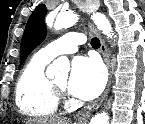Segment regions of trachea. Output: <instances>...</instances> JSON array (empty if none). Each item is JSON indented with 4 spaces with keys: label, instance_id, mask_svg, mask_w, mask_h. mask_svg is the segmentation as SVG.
I'll return each mask as SVG.
<instances>
[{
    "label": "trachea",
    "instance_id": "trachea-1",
    "mask_svg": "<svg viewBox=\"0 0 145 124\" xmlns=\"http://www.w3.org/2000/svg\"><path fill=\"white\" fill-rule=\"evenodd\" d=\"M91 46L93 48H99L100 47V40L97 37L92 38Z\"/></svg>",
    "mask_w": 145,
    "mask_h": 124
}]
</instances>
